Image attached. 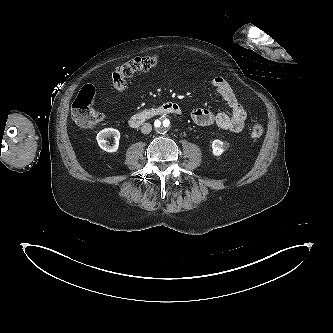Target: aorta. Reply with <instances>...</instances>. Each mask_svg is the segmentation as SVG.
Segmentation results:
<instances>
[{
  "instance_id": "762f6f07",
  "label": "aorta",
  "mask_w": 333,
  "mask_h": 333,
  "mask_svg": "<svg viewBox=\"0 0 333 333\" xmlns=\"http://www.w3.org/2000/svg\"><path fill=\"white\" fill-rule=\"evenodd\" d=\"M170 128V122L167 118H162L155 121V130L158 133H165Z\"/></svg>"
}]
</instances>
